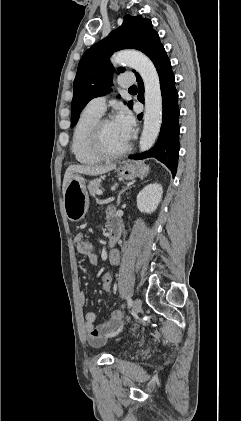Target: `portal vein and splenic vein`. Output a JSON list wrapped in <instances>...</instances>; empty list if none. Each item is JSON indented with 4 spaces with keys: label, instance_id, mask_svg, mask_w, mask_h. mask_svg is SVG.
<instances>
[{
    "label": "portal vein and splenic vein",
    "instance_id": "1",
    "mask_svg": "<svg viewBox=\"0 0 241 421\" xmlns=\"http://www.w3.org/2000/svg\"><path fill=\"white\" fill-rule=\"evenodd\" d=\"M102 194H103V192H102L101 190H98V191H97V195H102ZM110 200H111V198H108V199H107V201H110Z\"/></svg>",
    "mask_w": 241,
    "mask_h": 421
}]
</instances>
